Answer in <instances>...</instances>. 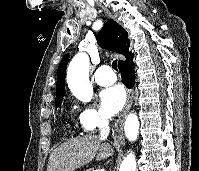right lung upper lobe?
Wrapping results in <instances>:
<instances>
[{"label": "right lung upper lobe", "instance_id": "right-lung-upper-lobe-1", "mask_svg": "<svg viewBox=\"0 0 199 171\" xmlns=\"http://www.w3.org/2000/svg\"><path fill=\"white\" fill-rule=\"evenodd\" d=\"M98 44L105 49L122 54L126 60L132 59L133 54L129 52L130 40L127 31L114 20H108L97 35ZM69 55L61 60L57 70L56 100L63 99L65 94V73ZM124 61H119L121 64Z\"/></svg>", "mask_w": 199, "mask_h": 171}]
</instances>
